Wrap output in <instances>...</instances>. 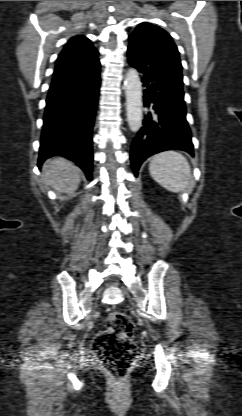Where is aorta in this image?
<instances>
[{"instance_id":"aorta-1","label":"aorta","mask_w":242,"mask_h":416,"mask_svg":"<svg viewBox=\"0 0 242 416\" xmlns=\"http://www.w3.org/2000/svg\"><path fill=\"white\" fill-rule=\"evenodd\" d=\"M127 122L133 132H137L142 125V86L138 71L130 68L125 78Z\"/></svg>"}]
</instances>
